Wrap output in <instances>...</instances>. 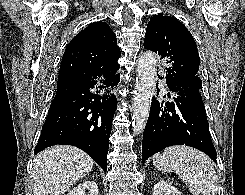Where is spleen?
Returning a JSON list of instances; mask_svg holds the SVG:
<instances>
[{"label": "spleen", "mask_w": 245, "mask_h": 195, "mask_svg": "<svg viewBox=\"0 0 245 195\" xmlns=\"http://www.w3.org/2000/svg\"><path fill=\"white\" fill-rule=\"evenodd\" d=\"M153 165L163 172H175L193 195H216L218 181L209 157L188 146H171L153 156Z\"/></svg>", "instance_id": "obj_1"}]
</instances>
